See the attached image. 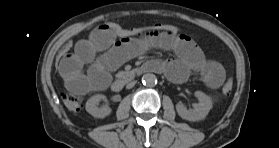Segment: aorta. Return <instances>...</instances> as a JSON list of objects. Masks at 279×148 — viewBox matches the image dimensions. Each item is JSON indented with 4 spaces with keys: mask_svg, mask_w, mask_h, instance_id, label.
I'll use <instances>...</instances> for the list:
<instances>
[{
    "mask_svg": "<svg viewBox=\"0 0 279 148\" xmlns=\"http://www.w3.org/2000/svg\"><path fill=\"white\" fill-rule=\"evenodd\" d=\"M142 83L145 86L153 87L157 84V77L152 73L144 74L142 77Z\"/></svg>",
    "mask_w": 279,
    "mask_h": 148,
    "instance_id": "1",
    "label": "aorta"
}]
</instances>
